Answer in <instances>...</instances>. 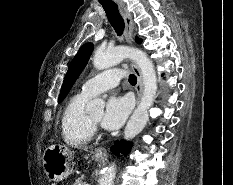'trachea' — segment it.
I'll return each instance as SVG.
<instances>
[{"label": "trachea", "instance_id": "trachea-1", "mask_svg": "<svg viewBox=\"0 0 233 185\" xmlns=\"http://www.w3.org/2000/svg\"><path fill=\"white\" fill-rule=\"evenodd\" d=\"M111 26L114 28L118 36H121L124 31V20L119 13L118 7L115 3H102ZM129 83L136 84L137 77L134 74L129 75Z\"/></svg>", "mask_w": 233, "mask_h": 185}]
</instances>
